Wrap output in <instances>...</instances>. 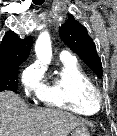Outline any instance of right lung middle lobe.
Listing matches in <instances>:
<instances>
[{"instance_id": "dd1d6c3e", "label": "right lung middle lobe", "mask_w": 117, "mask_h": 136, "mask_svg": "<svg viewBox=\"0 0 117 136\" xmlns=\"http://www.w3.org/2000/svg\"><path fill=\"white\" fill-rule=\"evenodd\" d=\"M19 65L20 64L6 65L0 67V92L5 90L17 92V78Z\"/></svg>"}]
</instances>
